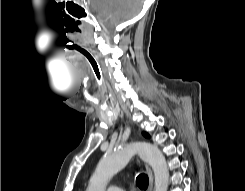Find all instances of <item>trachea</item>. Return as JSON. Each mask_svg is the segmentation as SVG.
Returning <instances> with one entry per match:
<instances>
[{
	"label": "trachea",
	"mask_w": 245,
	"mask_h": 191,
	"mask_svg": "<svg viewBox=\"0 0 245 191\" xmlns=\"http://www.w3.org/2000/svg\"><path fill=\"white\" fill-rule=\"evenodd\" d=\"M80 55L85 59V61L90 65V67L92 68L97 81H98V85L100 90H103V77H102V73L100 70V66L96 60V58L94 57V55L87 49L85 48H80L78 49ZM106 110H109L108 107H105ZM148 183H149V179L148 176L144 173L139 174L136 178V184L140 189H146L148 187Z\"/></svg>",
	"instance_id": "obj_1"
}]
</instances>
